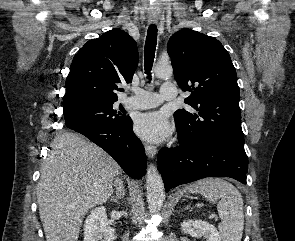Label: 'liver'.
<instances>
[{
    "mask_svg": "<svg viewBox=\"0 0 295 241\" xmlns=\"http://www.w3.org/2000/svg\"><path fill=\"white\" fill-rule=\"evenodd\" d=\"M43 163L37 201L46 241H77L89 209L113 193L119 165L100 147L66 132L56 137Z\"/></svg>",
    "mask_w": 295,
    "mask_h": 241,
    "instance_id": "1",
    "label": "liver"
}]
</instances>
